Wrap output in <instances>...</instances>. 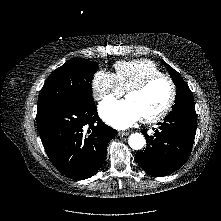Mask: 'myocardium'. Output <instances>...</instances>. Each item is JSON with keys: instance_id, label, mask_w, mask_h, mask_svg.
I'll return each instance as SVG.
<instances>
[{"instance_id": "f54148a6", "label": "myocardium", "mask_w": 221, "mask_h": 221, "mask_svg": "<svg viewBox=\"0 0 221 221\" xmlns=\"http://www.w3.org/2000/svg\"><path fill=\"white\" fill-rule=\"evenodd\" d=\"M158 80H166L169 83L170 97H169L166 105L157 114H155L153 116L141 118V121L144 123H147V124L159 122L160 120L165 118L168 115V113L170 112L171 108L173 107V105L175 103L176 95H177L176 85H175L174 81L172 80L171 77H169L168 75H165V74L153 75V76H150L147 79L143 80L141 83L131 87L130 89H128L126 91V95L130 94V93L143 92Z\"/></svg>"}]
</instances>
